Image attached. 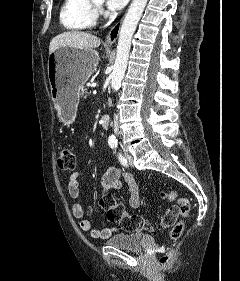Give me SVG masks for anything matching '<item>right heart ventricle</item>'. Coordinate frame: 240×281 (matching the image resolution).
<instances>
[{
	"label": "right heart ventricle",
	"mask_w": 240,
	"mask_h": 281,
	"mask_svg": "<svg viewBox=\"0 0 240 281\" xmlns=\"http://www.w3.org/2000/svg\"><path fill=\"white\" fill-rule=\"evenodd\" d=\"M96 18L89 0H64L60 8V23L68 31L89 29Z\"/></svg>",
	"instance_id": "e07e8e85"
}]
</instances>
